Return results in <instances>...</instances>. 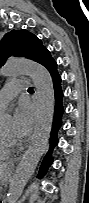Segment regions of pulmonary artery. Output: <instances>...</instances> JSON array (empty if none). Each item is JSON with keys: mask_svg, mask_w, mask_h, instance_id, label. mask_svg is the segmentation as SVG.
Returning a JSON list of instances; mask_svg holds the SVG:
<instances>
[{"mask_svg": "<svg viewBox=\"0 0 89 203\" xmlns=\"http://www.w3.org/2000/svg\"><path fill=\"white\" fill-rule=\"evenodd\" d=\"M26 86V81L22 79L8 82L0 92V109H4L9 101L26 89Z\"/></svg>", "mask_w": 89, "mask_h": 203, "instance_id": "1", "label": "pulmonary artery"}]
</instances>
